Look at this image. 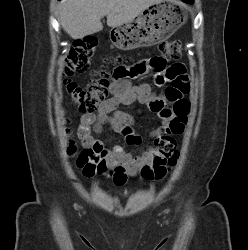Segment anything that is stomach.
I'll use <instances>...</instances> for the list:
<instances>
[{
  "mask_svg": "<svg viewBox=\"0 0 248 250\" xmlns=\"http://www.w3.org/2000/svg\"><path fill=\"white\" fill-rule=\"evenodd\" d=\"M185 21L181 3L163 0L140 12L133 21L113 28L110 40L121 50L153 46L168 39Z\"/></svg>",
  "mask_w": 248,
  "mask_h": 250,
  "instance_id": "obj_1",
  "label": "stomach"
}]
</instances>
